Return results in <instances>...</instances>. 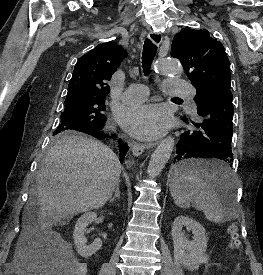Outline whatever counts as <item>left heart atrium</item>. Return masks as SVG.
Returning <instances> with one entry per match:
<instances>
[{
    "mask_svg": "<svg viewBox=\"0 0 263 275\" xmlns=\"http://www.w3.org/2000/svg\"><path fill=\"white\" fill-rule=\"evenodd\" d=\"M121 124L134 137L149 140L166 131L168 117L160 106L144 104L127 109L121 116Z\"/></svg>",
    "mask_w": 263,
    "mask_h": 275,
    "instance_id": "left-heart-atrium-1",
    "label": "left heart atrium"
}]
</instances>
